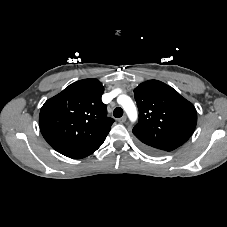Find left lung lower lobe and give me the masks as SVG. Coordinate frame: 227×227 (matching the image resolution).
<instances>
[{
    "instance_id": "obj_1",
    "label": "left lung lower lobe",
    "mask_w": 227,
    "mask_h": 227,
    "mask_svg": "<svg viewBox=\"0 0 227 227\" xmlns=\"http://www.w3.org/2000/svg\"><path fill=\"white\" fill-rule=\"evenodd\" d=\"M142 147H143V149H145V150H147V151H149V152H152V153H160V152H158V151H155V150L146 148V147H144V146H142Z\"/></svg>"
}]
</instances>
